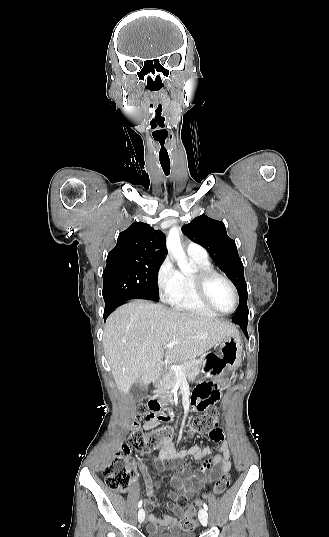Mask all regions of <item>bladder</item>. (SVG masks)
Here are the masks:
<instances>
[{
  "label": "bladder",
  "instance_id": "bladder-1",
  "mask_svg": "<svg viewBox=\"0 0 329 537\" xmlns=\"http://www.w3.org/2000/svg\"><path fill=\"white\" fill-rule=\"evenodd\" d=\"M147 537H196L194 532H156Z\"/></svg>",
  "mask_w": 329,
  "mask_h": 537
}]
</instances>
